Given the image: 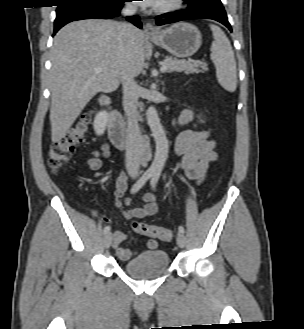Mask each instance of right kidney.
<instances>
[{"mask_svg": "<svg viewBox=\"0 0 304 329\" xmlns=\"http://www.w3.org/2000/svg\"><path fill=\"white\" fill-rule=\"evenodd\" d=\"M107 122H108V114L106 111H101L96 115L94 119L93 127L97 135L104 134V131L107 126Z\"/></svg>", "mask_w": 304, "mask_h": 329, "instance_id": "1", "label": "right kidney"}]
</instances>
